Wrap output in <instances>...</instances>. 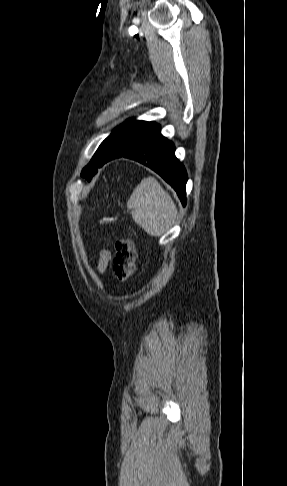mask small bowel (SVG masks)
<instances>
[{"label": "small bowel", "instance_id": "obj_1", "mask_svg": "<svg viewBox=\"0 0 287 486\" xmlns=\"http://www.w3.org/2000/svg\"><path fill=\"white\" fill-rule=\"evenodd\" d=\"M111 259V254L107 250H102L99 255L98 263H97V270L100 273H103L106 271L108 264Z\"/></svg>", "mask_w": 287, "mask_h": 486}]
</instances>
